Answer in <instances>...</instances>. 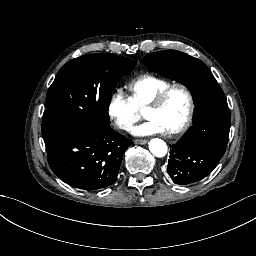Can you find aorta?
<instances>
[{
    "label": "aorta",
    "mask_w": 256,
    "mask_h": 256,
    "mask_svg": "<svg viewBox=\"0 0 256 256\" xmlns=\"http://www.w3.org/2000/svg\"><path fill=\"white\" fill-rule=\"evenodd\" d=\"M148 145L150 152L158 158H162L167 154L168 147L162 139L153 138L150 140Z\"/></svg>",
    "instance_id": "762f6f07"
}]
</instances>
